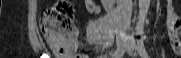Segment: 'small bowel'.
<instances>
[{"instance_id": "obj_1", "label": "small bowel", "mask_w": 181, "mask_h": 58, "mask_svg": "<svg viewBox=\"0 0 181 58\" xmlns=\"http://www.w3.org/2000/svg\"><path fill=\"white\" fill-rule=\"evenodd\" d=\"M85 8L93 14L100 12V7L94 0H83ZM165 29L169 37L170 46L172 51L176 55H181V42L179 37L181 36V18L176 14L173 4L170 2L166 8V23ZM91 43L94 42L93 37H89Z\"/></svg>"}]
</instances>
